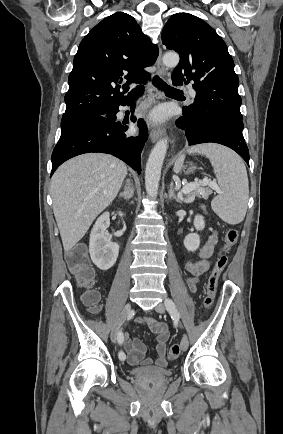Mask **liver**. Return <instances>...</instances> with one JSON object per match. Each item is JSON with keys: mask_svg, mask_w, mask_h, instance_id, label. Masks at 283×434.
<instances>
[{"mask_svg": "<svg viewBox=\"0 0 283 434\" xmlns=\"http://www.w3.org/2000/svg\"><path fill=\"white\" fill-rule=\"evenodd\" d=\"M126 175L122 161L103 153L79 155L56 170L51 196L65 252L83 238L95 218L116 198Z\"/></svg>", "mask_w": 283, "mask_h": 434, "instance_id": "liver-1", "label": "liver"}]
</instances>
